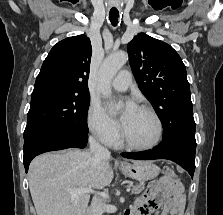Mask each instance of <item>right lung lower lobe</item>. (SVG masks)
I'll list each match as a JSON object with an SVG mask.
<instances>
[{"label":"right lung lower lobe","mask_w":223,"mask_h":215,"mask_svg":"<svg viewBox=\"0 0 223 215\" xmlns=\"http://www.w3.org/2000/svg\"><path fill=\"white\" fill-rule=\"evenodd\" d=\"M88 134L68 131L42 132L24 138V167L28 171L31 160L44 152L66 148H85Z\"/></svg>","instance_id":"right-lung-lower-lobe-1"}]
</instances>
